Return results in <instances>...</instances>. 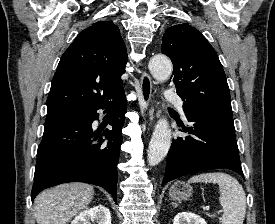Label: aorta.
I'll list each match as a JSON object with an SVG mask.
<instances>
[{"instance_id":"762f6f07","label":"aorta","mask_w":275,"mask_h":224,"mask_svg":"<svg viewBox=\"0 0 275 224\" xmlns=\"http://www.w3.org/2000/svg\"><path fill=\"white\" fill-rule=\"evenodd\" d=\"M149 69L152 76L159 82L170 78L173 70L170 59L163 55H156L149 62ZM171 146V129L165 118L158 120L152 134L148 152L147 161L150 166L159 164L167 155Z\"/></svg>"}]
</instances>
